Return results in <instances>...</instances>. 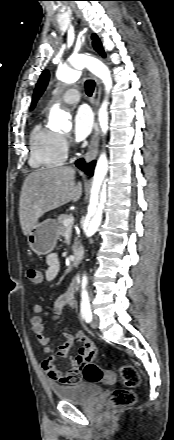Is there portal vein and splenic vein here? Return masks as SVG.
I'll return each instance as SVG.
<instances>
[{"mask_svg":"<svg viewBox=\"0 0 174 440\" xmlns=\"http://www.w3.org/2000/svg\"><path fill=\"white\" fill-rule=\"evenodd\" d=\"M74 222V217L71 215L69 218L63 221V225L66 227H70Z\"/></svg>","mask_w":174,"mask_h":440,"instance_id":"1","label":"portal vein and splenic vein"}]
</instances>
